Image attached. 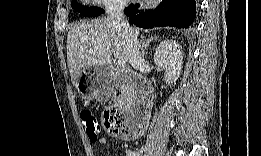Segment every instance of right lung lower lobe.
Segmentation results:
<instances>
[{"instance_id":"98d812e1","label":"right lung lower lobe","mask_w":261,"mask_h":156,"mask_svg":"<svg viewBox=\"0 0 261 156\" xmlns=\"http://www.w3.org/2000/svg\"><path fill=\"white\" fill-rule=\"evenodd\" d=\"M124 12L129 22L142 28L171 26L190 27L196 16L195 0H162L154 9H142L140 4H130Z\"/></svg>"}]
</instances>
